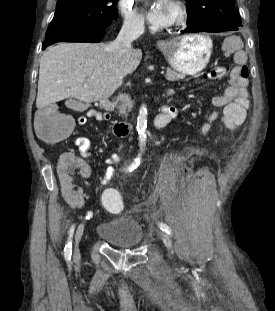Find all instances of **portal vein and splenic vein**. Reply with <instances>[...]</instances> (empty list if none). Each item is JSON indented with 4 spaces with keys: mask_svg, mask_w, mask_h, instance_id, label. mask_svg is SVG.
I'll list each match as a JSON object with an SVG mask.
<instances>
[{
    "mask_svg": "<svg viewBox=\"0 0 275 311\" xmlns=\"http://www.w3.org/2000/svg\"><path fill=\"white\" fill-rule=\"evenodd\" d=\"M160 74H162V75H163V74H164V71H161V72H160ZM92 78H94V76H92Z\"/></svg>",
    "mask_w": 275,
    "mask_h": 311,
    "instance_id": "18ae733b",
    "label": "portal vein and splenic vein"
}]
</instances>
